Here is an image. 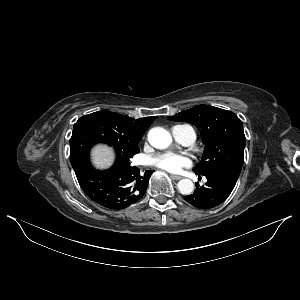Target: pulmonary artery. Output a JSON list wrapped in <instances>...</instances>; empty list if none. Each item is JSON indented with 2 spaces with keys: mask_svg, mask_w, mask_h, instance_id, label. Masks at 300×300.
<instances>
[{
  "mask_svg": "<svg viewBox=\"0 0 300 300\" xmlns=\"http://www.w3.org/2000/svg\"><path fill=\"white\" fill-rule=\"evenodd\" d=\"M172 135L174 139L182 144H192L196 139L194 129L189 125H176L172 128Z\"/></svg>",
  "mask_w": 300,
  "mask_h": 300,
  "instance_id": "obj_1",
  "label": "pulmonary artery"
}]
</instances>
